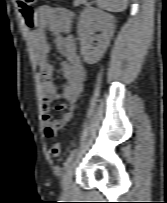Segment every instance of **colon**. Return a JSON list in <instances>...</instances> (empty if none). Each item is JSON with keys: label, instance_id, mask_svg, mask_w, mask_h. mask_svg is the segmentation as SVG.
I'll use <instances>...</instances> for the list:
<instances>
[{"label": "colon", "instance_id": "obj_1", "mask_svg": "<svg viewBox=\"0 0 167 203\" xmlns=\"http://www.w3.org/2000/svg\"><path fill=\"white\" fill-rule=\"evenodd\" d=\"M37 0H17V4L21 15L28 26L33 25V7ZM51 156L54 158H59L61 155V143L55 142L51 146Z\"/></svg>", "mask_w": 167, "mask_h": 203}]
</instances>
